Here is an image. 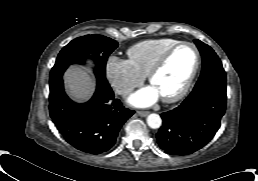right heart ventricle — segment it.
I'll list each match as a JSON object with an SVG mask.
<instances>
[{
  "label": "right heart ventricle",
  "instance_id": "right-heart-ventricle-1",
  "mask_svg": "<svg viewBox=\"0 0 258 181\" xmlns=\"http://www.w3.org/2000/svg\"><path fill=\"white\" fill-rule=\"evenodd\" d=\"M178 42L180 41L172 38L149 39L138 42L127 50L128 61L138 73L146 77L157 59Z\"/></svg>",
  "mask_w": 258,
  "mask_h": 181
}]
</instances>
